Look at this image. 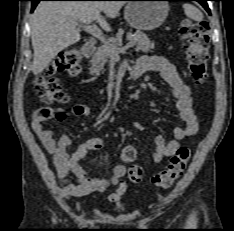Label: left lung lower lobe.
I'll list each match as a JSON object with an SVG mask.
<instances>
[{
  "label": "left lung lower lobe",
  "instance_id": "left-lung-lower-lobe-1",
  "mask_svg": "<svg viewBox=\"0 0 234 231\" xmlns=\"http://www.w3.org/2000/svg\"><path fill=\"white\" fill-rule=\"evenodd\" d=\"M169 1H197L206 9V11L209 14H211L210 9H209L208 4H207V1H209V0H169Z\"/></svg>",
  "mask_w": 234,
  "mask_h": 231
}]
</instances>
